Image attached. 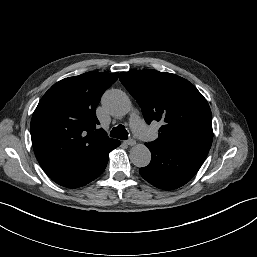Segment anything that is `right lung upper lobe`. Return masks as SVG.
<instances>
[{
	"instance_id": "obj_1",
	"label": "right lung upper lobe",
	"mask_w": 257,
	"mask_h": 257,
	"mask_svg": "<svg viewBox=\"0 0 257 257\" xmlns=\"http://www.w3.org/2000/svg\"><path fill=\"white\" fill-rule=\"evenodd\" d=\"M118 73L88 72L54 84L41 98L30 124L37 160L51 178L77 171L115 139L97 129L95 109Z\"/></svg>"
}]
</instances>
